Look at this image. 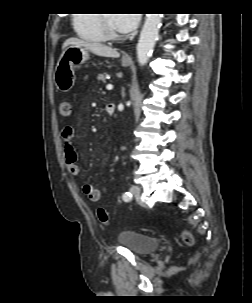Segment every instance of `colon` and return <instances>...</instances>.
Masks as SVG:
<instances>
[{"label": "colon", "instance_id": "5ec220e1", "mask_svg": "<svg viewBox=\"0 0 252 303\" xmlns=\"http://www.w3.org/2000/svg\"><path fill=\"white\" fill-rule=\"evenodd\" d=\"M72 106L69 101H62L59 105V112L62 117H69L71 115ZM97 217L100 222L107 223L108 222V213L102 207L97 208ZM182 240L188 246H192L194 244V238L192 234L188 231H182L181 233Z\"/></svg>", "mask_w": 252, "mask_h": 303}]
</instances>
